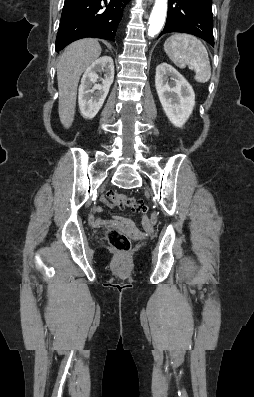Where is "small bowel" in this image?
Masks as SVG:
<instances>
[{
  "label": "small bowel",
  "mask_w": 254,
  "mask_h": 397,
  "mask_svg": "<svg viewBox=\"0 0 254 397\" xmlns=\"http://www.w3.org/2000/svg\"><path fill=\"white\" fill-rule=\"evenodd\" d=\"M103 203L105 205H110V202L106 199L103 198ZM103 210V208L101 206H95L92 208L91 214L88 217V222L89 224L94 227V228H99L102 226H124L127 225L129 226L130 224L125 221L123 218L115 216L113 220H104L101 218H98L94 215V213L96 212H101ZM144 228L147 232L151 231V225L150 222L148 220H146V222L144 223Z\"/></svg>",
  "instance_id": "small-bowel-1"
}]
</instances>
